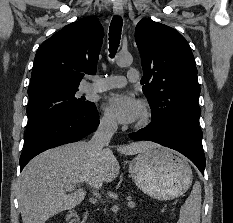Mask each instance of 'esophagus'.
Returning a JSON list of instances; mask_svg holds the SVG:
<instances>
[{
    "label": "esophagus",
    "instance_id": "34e87169",
    "mask_svg": "<svg viewBox=\"0 0 233 223\" xmlns=\"http://www.w3.org/2000/svg\"><path fill=\"white\" fill-rule=\"evenodd\" d=\"M113 12L115 13V15H123V6L121 1H117L114 3Z\"/></svg>",
    "mask_w": 233,
    "mask_h": 223
}]
</instances>
